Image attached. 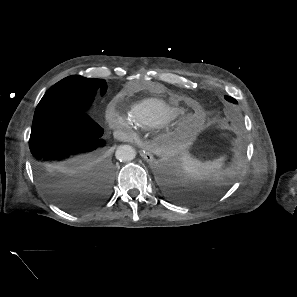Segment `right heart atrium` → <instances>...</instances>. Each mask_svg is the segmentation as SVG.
I'll return each mask as SVG.
<instances>
[{
	"instance_id": "right-heart-atrium-1",
	"label": "right heart atrium",
	"mask_w": 297,
	"mask_h": 297,
	"mask_svg": "<svg viewBox=\"0 0 297 297\" xmlns=\"http://www.w3.org/2000/svg\"><path fill=\"white\" fill-rule=\"evenodd\" d=\"M107 117L111 126L122 129L130 136L135 135L134 125L128 117L123 116L112 107L108 109Z\"/></svg>"
}]
</instances>
